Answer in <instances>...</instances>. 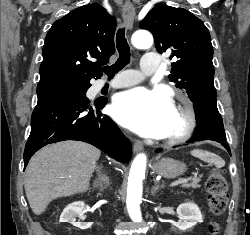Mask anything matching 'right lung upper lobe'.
<instances>
[{
	"label": "right lung upper lobe",
	"mask_w": 250,
	"mask_h": 235,
	"mask_svg": "<svg viewBox=\"0 0 250 235\" xmlns=\"http://www.w3.org/2000/svg\"><path fill=\"white\" fill-rule=\"evenodd\" d=\"M115 28V18L98 4L81 6L55 21L46 35L37 93L100 78L101 66L115 52Z\"/></svg>",
	"instance_id": "1"
}]
</instances>
